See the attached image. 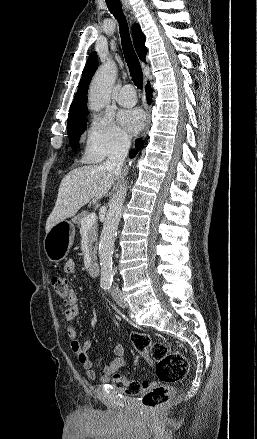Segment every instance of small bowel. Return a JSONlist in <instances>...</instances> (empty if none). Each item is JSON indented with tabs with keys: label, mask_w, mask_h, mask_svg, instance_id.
<instances>
[{
	"label": "small bowel",
	"mask_w": 257,
	"mask_h": 439,
	"mask_svg": "<svg viewBox=\"0 0 257 439\" xmlns=\"http://www.w3.org/2000/svg\"><path fill=\"white\" fill-rule=\"evenodd\" d=\"M64 273L69 275L74 273L75 271V263L72 260H68L65 262L63 267ZM79 314V305L78 298L75 293L72 294L67 308L64 312L65 319L70 323L67 328V333L69 338L71 339V349L78 361L82 365V367L86 371V375L90 380H97L98 375L95 370V365L92 359L90 358L88 351L91 346V342L89 340H80L78 339V333L73 321L77 318ZM127 366V359L125 357V347L122 342H117L114 351L113 357L109 362L105 363L103 366V374L100 377L101 382L108 383L112 379L118 375H122L121 370Z\"/></svg>",
	"instance_id": "1"
}]
</instances>
